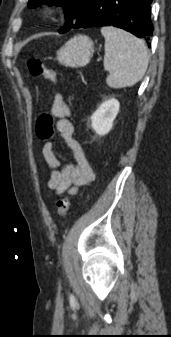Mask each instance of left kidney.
Here are the masks:
<instances>
[{"instance_id":"1","label":"left kidney","mask_w":171,"mask_h":337,"mask_svg":"<svg viewBox=\"0 0 171 337\" xmlns=\"http://www.w3.org/2000/svg\"><path fill=\"white\" fill-rule=\"evenodd\" d=\"M119 107L118 100L114 98L108 99L92 114V128L97 134L104 136L112 129Z\"/></svg>"}]
</instances>
